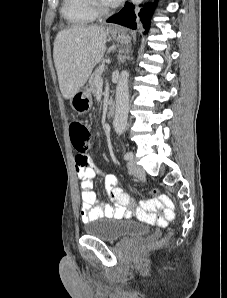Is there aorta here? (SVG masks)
<instances>
[{"label": "aorta", "instance_id": "762f6f07", "mask_svg": "<svg viewBox=\"0 0 227 298\" xmlns=\"http://www.w3.org/2000/svg\"><path fill=\"white\" fill-rule=\"evenodd\" d=\"M143 0H131L135 5H139ZM129 72L124 70L121 72L116 87V110L113 126L118 134H122L127 126L128 110H129Z\"/></svg>", "mask_w": 227, "mask_h": 298}]
</instances>
